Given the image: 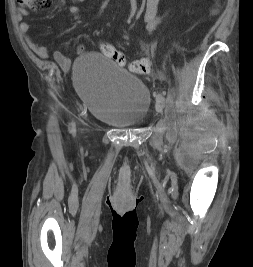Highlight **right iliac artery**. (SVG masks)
<instances>
[{
	"label": "right iliac artery",
	"mask_w": 253,
	"mask_h": 267,
	"mask_svg": "<svg viewBox=\"0 0 253 267\" xmlns=\"http://www.w3.org/2000/svg\"><path fill=\"white\" fill-rule=\"evenodd\" d=\"M71 133H72L73 136H75V134H76V128H75V123L74 122L71 123Z\"/></svg>",
	"instance_id": "right-iliac-artery-1"
}]
</instances>
